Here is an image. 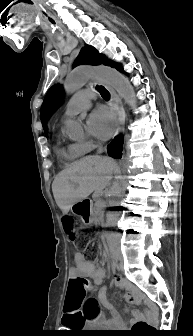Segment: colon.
<instances>
[{"instance_id":"5ec220e1","label":"colon","mask_w":193,"mask_h":336,"mask_svg":"<svg viewBox=\"0 0 193 336\" xmlns=\"http://www.w3.org/2000/svg\"><path fill=\"white\" fill-rule=\"evenodd\" d=\"M63 227L65 230V233L69 240L73 242L76 246L82 249H87L89 241L85 237H80L78 230L75 226V221L70 216H64L62 218ZM80 287L83 289L84 297L86 295V288L89 287L88 282L84 281L80 284ZM87 311L96 313L98 311V307L96 305V302L94 300H89L86 304ZM93 315V314H92ZM92 315L90 317H92ZM153 326L145 321L137 322L132 330H131V336H148V334L153 330Z\"/></svg>"}]
</instances>
